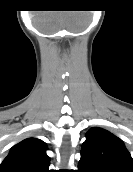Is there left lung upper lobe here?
Segmentation results:
<instances>
[{
  "mask_svg": "<svg viewBox=\"0 0 133 172\" xmlns=\"http://www.w3.org/2000/svg\"><path fill=\"white\" fill-rule=\"evenodd\" d=\"M78 172H133V161L120 138L94 127L82 145Z\"/></svg>",
  "mask_w": 133,
  "mask_h": 172,
  "instance_id": "5c2ea615",
  "label": "left lung upper lobe"
}]
</instances>
